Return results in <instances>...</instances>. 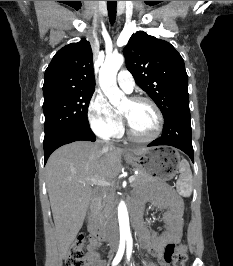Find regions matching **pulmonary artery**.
<instances>
[{
  "label": "pulmonary artery",
  "instance_id": "obj_1",
  "mask_svg": "<svg viewBox=\"0 0 233 266\" xmlns=\"http://www.w3.org/2000/svg\"><path fill=\"white\" fill-rule=\"evenodd\" d=\"M117 83L125 92L130 93L133 91L135 81L132 74L127 70H121L117 76Z\"/></svg>",
  "mask_w": 233,
  "mask_h": 266
}]
</instances>
